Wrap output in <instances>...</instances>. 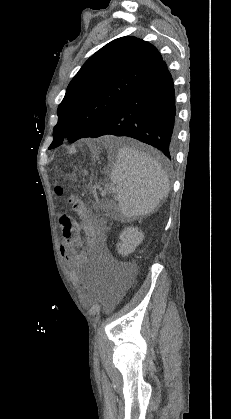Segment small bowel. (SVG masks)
Returning a JSON list of instances; mask_svg holds the SVG:
<instances>
[{
    "instance_id": "1",
    "label": "small bowel",
    "mask_w": 231,
    "mask_h": 419,
    "mask_svg": "<svg viewBox=\"0 0 231 419\" xmlns=\"http://www.w3.org/2000/svg\"><path fill=\"white\" fill-rule=\"evenodd\" d=\"M60 225L63 231V238L60 243V253L68 265V272L74 279H78V268L88 261L87 245L81 239V229L68 213L60 217ZM99 257H105L102 249L98 250ZM125 285L115 282L113 286L105 291V304L107 307L114 306L123 296Z\"/></svg>"
}]
</instances>
